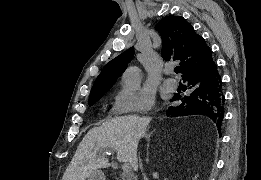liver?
<instances>
[{"mask_svg":"<svg viewBox=\"0 0 261 180\" xmlns=\"http://www.w3.org/2000/svg\"><path fill=\"white\" fill-rule=\"evenodd\" d=\"M149 122L150 118L140 116H114L99 128L89 130L73 156L68 180H86L94 170L109 168L104 154L110 150H116L119 162H129L137 170L138 142Z\"/></svg>","mask_w":261,"mask_h":180,"instance_id":"liver-1","label":"liver"}]
</instances>
